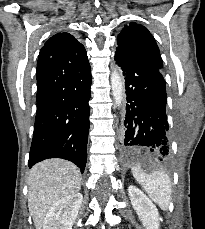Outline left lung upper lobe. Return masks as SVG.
I'll return each mask as SVG.
<instances>
[{
  "instance_id": "1",
  "label": "left lung upper lobe",
  "mask_w": 205,
  "mask_h": 229,
  "mask_svg": "<svg viewBox=\"0 0 205 229\" xmlns=\"http://www.w3.org/2000/svg\"><path fill=\"white\" fill-rule=\"evenodd\" d=\"M118 49H122L142 61L162 70L163 62L154 37L142 25L134 22L126 26L117 37Z\"/></svg>"
}]
</instances>
